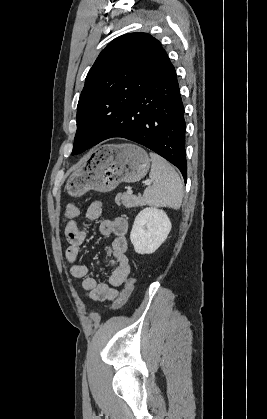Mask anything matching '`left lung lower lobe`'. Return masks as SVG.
I'll list each match as a JSON object with an SVG mask.
<instances>
[{"mask_svg": "<svg viewBox=\"0 0 267 419\" xmlns=\"http://www.w3.org/2000/svg\"><path fill=\"white\" fill-rule=\"evenodd\" d=\"M185 131L184 106L177 75L167 57L125 112L101 125L91 147L113 137L129 139L174 164L186 181Z\"/></svg>", "mask_w": 267, "mask_h": 419, "instance_id": "1", "label": "left lung lower lobe"}]
</instances>
